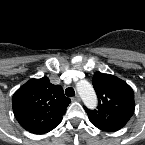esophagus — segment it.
<instances>
[{
	"label": "esophagus",
	"instance_id": "1",
	"mask_svg": "<svg viewBox=\"0 0 145 145\" xmlns=\"http://www.w3.org/2000/svg\"><path fill=\"white\" fill-rule=\"evenodd\" d=\"M72 101L80 102L81 101V98H80L79 95H75L74 97H72Z\"/></svg>",
	"mask_w": 145,
	"mask_h": 145
}]
</instances>
